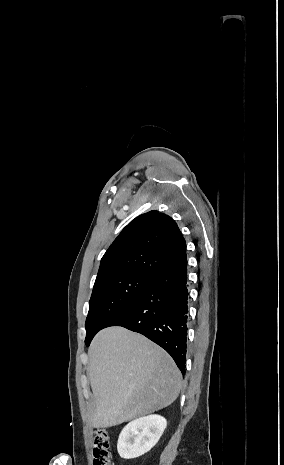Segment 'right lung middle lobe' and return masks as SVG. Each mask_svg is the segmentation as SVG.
I'll return each mask as SVG.
<instances>
[{"mask_svg": "<svg viewBox=\"0 0 284 465\" xmlns=\"http://www.w3.org/2000/svg\"><path fill=\"white\" fill-rule=\"evenodd\" d=\"M152 280L153 278L143 275L125 274L96 282L85 323L86 345L89 346L108 320L140 294Z\"/></svg>", "mask_w": 284, "mask_h": 465, "instance_id": "right-lung-middle-lobe-1", "label": "right lung middle lobe"}]
</instances>
